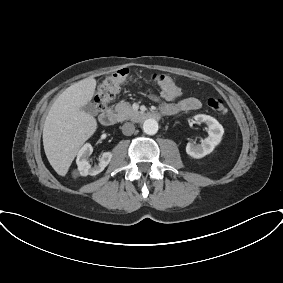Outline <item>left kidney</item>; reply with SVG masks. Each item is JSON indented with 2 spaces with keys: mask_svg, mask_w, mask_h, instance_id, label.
I'll use <instances>...</instances> for the list:
<instances>
[{
  "mask_svg": "<svg viewBox=\"0 0 283 283\" xmlns=\"http://www.w3.org/2000/svg\"><path fill=\"white\" fill-rule=\"evenodd\" d=\"M197 122H204L208 126V137L201 144L188 143L186 153L195 159L203 158L210 154L214 148L221 142L224 133L223 126L213 117L198 114L194 117Z\"/></svg>",
  "mask_w": 283,
  "mask_h": 283,
  "instance_id": "left-kidney-1",
  "label": "left kidney"
}]
</instances>
